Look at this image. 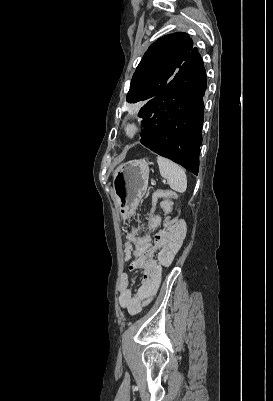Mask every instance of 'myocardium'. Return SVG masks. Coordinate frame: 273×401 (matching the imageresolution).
Wrapping results in <instances>:
<instances>
[{
	"label": "myocardium",
	"mask_w": 273,
	"mask_h": 401,
	"mask_svg": "<svg viewBox=\"0 0 273 401\" xmlns=\"http://www.w3.org/2000/svg\"><path fill=\"white\" fill-rule=\"evenodd\" d=\"M144 129V123L141 120L132 117L122 122L119 133L124 142L131 143L140 138Z\"/></svg>",
	"instance_id": "myocardium-1"
}]
</instances>
